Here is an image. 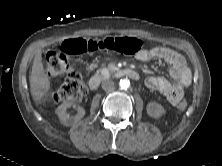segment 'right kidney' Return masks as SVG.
Here are the masks:
<instances>
[{"label":"right kidney","instance_id":"1","mask_svg":"<svg viewBox=\"0 0 222 166\" xmlns=\"http://www.w3.org/2000/svg\"><path fill=\"white\" fill-rule=\"evenodd\" d=\"M72 105L71 102H66L61 104L56 109V114L58 115L60 122L64 126H71L81 120L85 115V110L82 107H78V112L75 116H70L66 113V109Z\"/></svg>","mask_w":222,"mask_h":166}]
</instances>
